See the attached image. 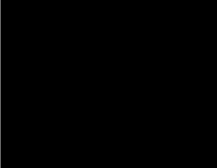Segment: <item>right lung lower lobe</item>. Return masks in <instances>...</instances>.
I'll use <instances>...</instances> for the list:
<instances>
[{
  "mask_svg": "<svg viewBox=\"0 0 217 168\" xmlns=\"http://www.w3.org/2000/svg\"><path fill=\"white\" fill-rule=\"evenodd\" d=\"M94 103L75 95L55 100L38 112L30 113L34 126L55 143L73 144L90 130Z\"/></svg>",
  "mask_w": 217,
  "mask_h": 168,
  "instance_id": "obj_1",
  "label": "right lung lower lobe"
}]
</instances>
